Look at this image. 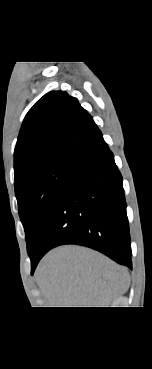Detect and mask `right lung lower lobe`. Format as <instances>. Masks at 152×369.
<instances>
[{"label":"right lung lower lobe","instance_id":"right-lung-lower-lobe-1","mask_svg":"<svg viewBox=\"0 0 152 369\" xmlns=\"http://www.w3.org/2000/svg\"><path fill=\"white\" fill-rule=\"evenodd\" d=\"M122 176L100 138L73 163L30 257L32 273L50 249L76 244L132 269Z\"/></svg>","mask_w":152,"mask_h":369}]
</instances>
